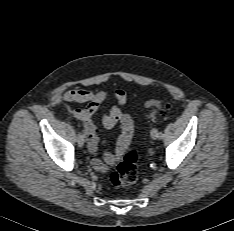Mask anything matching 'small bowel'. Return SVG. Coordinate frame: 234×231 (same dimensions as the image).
Returning <instances> with one entry per match:
<instances>
[{
    "mask_svg": "<svg viewBox=\"0 0 234 231\" xmlns=\"http://www.w3.org/2000/svg\"><path fill=\"white\" fill-rule=\"evenodd\" d=\"M107 96L106 91L93 92L86 89H72L62 95L65 102L86 104V107L81 109H72L69 106L67 109L74 118L83 123L88 140V150L92 154L91 165L99 172L107 171L119 160L127 150L132 138V126L127 119L122 117V107L126 104L127 96L123 90L118 89L114 92L116 104L103 116L102 123L105 128L111 129L121 121V134L117 139L114 152L106 151L102 158L97 156L98 137L92 117Z\"/></svg>",
    "mask_w": 234,
    "mask_h": 231,
    "instance_id": "obj_1",
    "label": "small bowel"
}]
</instances>
